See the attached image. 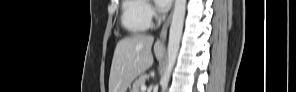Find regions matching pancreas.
<instances>
[{"mask_svg": "<svg viewBox=\"0 0 296 92\" xmlns=\"http://www.w3.org/2000/svg\"><path fill=\"white\" fill-rule=\"evenodd\" d=\"M147 79V75H140L133 83V87L131 89V92H141L140 88L142 85L145 84Z\"/></svg>", "mask_w": 296, "mask_h": 92, "instance_id": "cf45deb5", "label": "pancreas"}]
</instances>
